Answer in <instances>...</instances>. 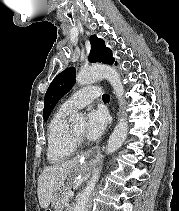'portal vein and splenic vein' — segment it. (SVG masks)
Listing matches in <instances>:
<instances>
[{
	"instance_id": "1",
	"label": "portal vein and splenic vein",
	"mask_w": 179,
	"mask_h": 211,
	"mask_svg": "<svg viewBox=\"0 0 179 211\" xmlns=\"http://www.w3.org/2000/svg\"><path fill=\"white\" fill-rule=\"evenodd\" d=\"M66 195H67L68 197H73V196H74V192L68 191V192L66 193Z\"/></svg>"
}]
</instances>
